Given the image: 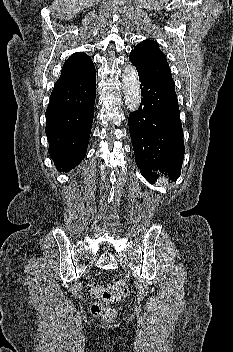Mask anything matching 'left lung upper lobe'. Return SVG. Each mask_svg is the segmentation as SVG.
<instances>
[{"instance_id":"left-lung-upper-lobe-1","label":"left lung upper lobe","mask_w":233,"mask_h":352,"mask_svg":"<svg viewBox=\"0 0 233 352\" xmlns=\"http://www.w3.org/2000/svg\"><path fill=\"white\" fill-rule=\"evenodd\" d=\"M129 60L143 73L175 87L166 56L156 42L147 39L137 44L131 51Z\"/></svg>"}]
</instances>
